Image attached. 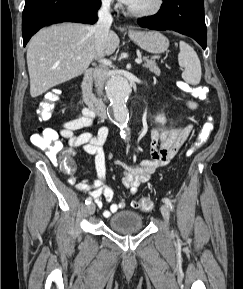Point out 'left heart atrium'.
<instances>
[{"label": "left heart atrium", "instance_id": "obj_1", "mask_svg": "<svg viewBox=\"0 0 243 289\" xmlns=\"http://www.w3.org/2000/svg\"><path fill=\"white\" fill-rule=\"evenodd\" d=\"M122 3L126 4V5H130L132 3L133 0H119Z\"/></svg>", "mask_w": 243, "mask_h": 289}]
</instances>
